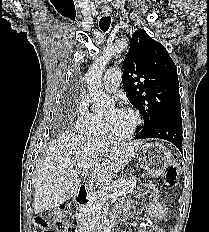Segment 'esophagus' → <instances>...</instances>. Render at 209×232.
Masks as SVG:
<instances>
[{"mask_svg": "<svg viewBox=\"0 0 209 232\" xmlns=\"http://www.w3.org/2000/svg\"><path fill=\"white\" fill-rule=\"evenodd\" d=\"M102 12L105 16L111 15L112 13L111 9H103Z\"/></svg>", "mask_w": 209, "mask_h": 232, "instance_id": "esophagus-1", "label": "esophagus"}]
</instances>
